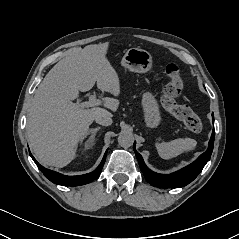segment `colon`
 <instances>
[{"instance_id": "1", "label": "colon", "mask_w": 239, "mask_h": 239, "mask_svg": "<svg viewBox=\"0 0 239 239\" xmlns=\"http://www.w3.org/2000/svg\"><path fill=\"white\" fill-rule=\"evenodd\" d=\"M165 76L168 82L161 97L162 106L182 121L191 132H201L203 123L200 117L189 106L178 102L184 92L179 67L174 63L166 65Z\"/></svg>"}]
</instances>
